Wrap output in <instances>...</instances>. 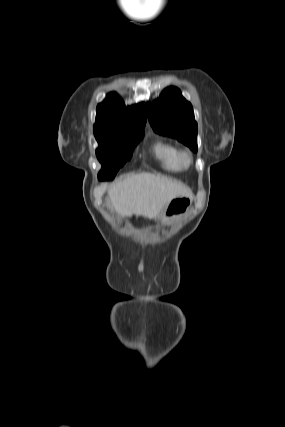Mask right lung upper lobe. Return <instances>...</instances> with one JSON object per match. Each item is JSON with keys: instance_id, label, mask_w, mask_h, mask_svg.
<instances>
[{"instance_id": "obj_1", "label": "right lung upper lobe", "mask_w": 285, "mask_h": 427, "mask_svg": "<svg viewBox=\"0 0 285 427\" xmlns=\"http://www.w3.org/2000/svg\"><path fill=\"white\" fill-rule=\"evenodd\" d=\"M147 111L144 103L126 107L116 93H109L97 106L94 130L143 128Z\"/></svg>"}]
</instances>
